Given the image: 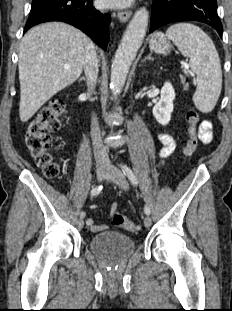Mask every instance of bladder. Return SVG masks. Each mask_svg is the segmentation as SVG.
Here are the masks:
<instances>
[{
	"label": "bladder",
	"mask_w": 232,
	"mask_h": 311,
	"mask_svg": "<svg viewBox=\"0 0 232 311\" xmlns=\"http://www.w3.org/2000/svg\"><path fill=\"white\" fill-rule=\"evenodd\" d=\"M90 248L93 253L108 262H118L135 249L133 239L117 231H104L90 239Z\"/></svg>",
	"instance_id": "bladder-1"
}]
</instances>
